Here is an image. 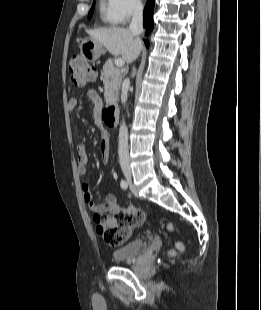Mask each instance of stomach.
Returning a JSON list of instances; mask_svg holds the SVG:
<instances>
[{
  "label": "stomach",
  "instance_id": "1",
  "mask_svg": "<svg viewBox=\"0 0 261 310\" xmlns=\"http://www.w3.org/2000/svg\"><path fill=\"white\" fill-rule=\"evenodd\" d=\"M80 51H81L82 56L86 60L90 62H94L102 54L103 47L99 42H97L93 38H86L82 40L81 42Z\"/></svg>",
  "mask_w": 261,
  "mask_h": 310
}]
</instances>
